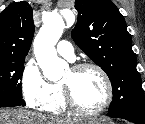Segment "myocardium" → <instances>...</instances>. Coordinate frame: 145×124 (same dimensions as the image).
I'll return each mask as SVG.
<instances>
[{"label":"myocardium","mask_w":145,"mask_h":124,"mask_svg":"<svg viewBox=\"0 0 145 124\" xmlns=\"http://www.w3.org/2000/svg\"><path fill=\"white\" fill-rule=\"evenodd\" d=\"M87 69H93L99 73L101 78L104 81L105 89H106V96L103 101V103L95 110H86L82 108L75 100L73 96L72 89L69 85L60 82L59 85L62 89L64 100L66 102L67 107L75 114L81 115V116H97L101 113H103L112 103L113 96H114V90H113V84L112 81L107 74V72L99 65L95 63L90 62H84L74 65L71 68V71L73 73H78Z\"/></svg>","instance_id":"1"}]
</instances>
